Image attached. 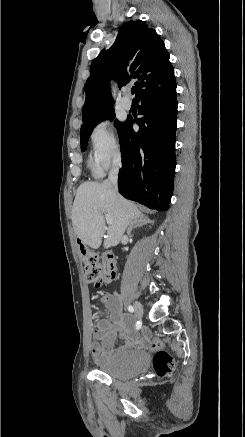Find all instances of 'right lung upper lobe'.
<instances>
[{
  "label": "right lung upper lobe",
  "mask_w": 245,
  "mask_h": 437,
  "mask_svg": "<svg viewBox=\"0 0 245 437\" xmlns=\"http://www.w3.org/2000/svg\"><path fill=\"white\" fill-rule=\"evenodd\" d=\"M169 57L164 42L144 21L124 24L113 46L103 50L91 64L90 76L84 86L86 98L82 126L114 108L110 91L111 77H115L120 87L131 79H137L135 99L175 83Z\"/></svg>",
  "instance_id": "obj_1"
}]
</instances>
